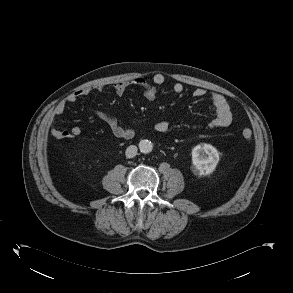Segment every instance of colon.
Listing matches in <instances>:
<instances>
[{
	"label": "colon",
	"mask_w": 293,
	"mask_h": 293,
	"mask_svg": "<svg viewBox=\"0 0 293 293\" xmlns=\"http://www.w3.org/2000/svg\"><path fill=\"white\" fill-rule=\"evenodd\" d=\"M242 136L245 140L249 141L252 138V132L249 129H244Z\"/></svg>",
	"instance_id": "obj_1"
}]
</instances>
